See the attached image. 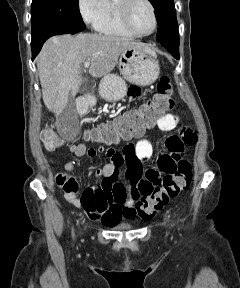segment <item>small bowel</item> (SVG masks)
<instances>
[{"label":"small bowel","instance_id":"1","mask_svg":"<svg viewBox=\"0 0 240 288\" xmlns=\"http://www.w3.org/2000/svg\"><path fill=\"white\" fill-rule=\"evenodd\" d=\"M141 90L136 86L128 88L130 98L138 97ZM180 117L176 114H165L157 121V126L162 131L178 130L176 134L169 136L165 140L167 153L158 157L155 168L144 171L143 164L152 155V145L146 139L139 140L136 144H128L122 152L116 151L111 144L116 143L118 138L95 139L104 142L106 146H101L98 152L110 159L103 168L97 169L93 174L100 179L96 187L86 189L80 198L76 195L66 194V198L73 205L82 209L92 220H98L104 225L113 227L122 219H132L135 217L134 199L143 195H148L152 190L161 184L163 177L172 174L181 160L185 146H192L197 142V134L188 127H180ZM106 127L102 126L93 130L88 136L96 135ZM143 130L130 135H124V139L140 138ZM70 152L76 157H94L97 150L88 148L85 144H74L70 146ZM125 167L124 184L121 178V168ZM64 169L71 172L74 163L68 161L64 164Z\"/></svg>","mask_w":240,"mask_h":288}]
</instances>
